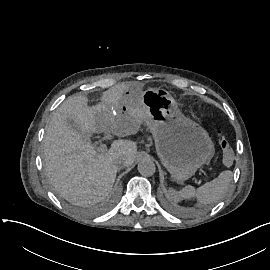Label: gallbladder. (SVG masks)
Here are the masks:
<instances>
[{
	"label": "gallbladder",
	"instance_id": "gallbladder-1",
	"mask_svg": "<svg viewBox=\"0 0 270 270\" xmlns=\"http://www.w3.org/2000/svg\"><path fill=\"white\" fill-rule=\"evenodd\" d=\"M70 124L73 126V128H74L75 130H77V131L79 130V127H77L76 125H74L73 122H70Z\"/></svg>",
	"mask_w": 270,
	"mask_h": 270
}]
</instances>
